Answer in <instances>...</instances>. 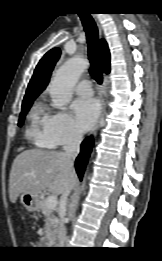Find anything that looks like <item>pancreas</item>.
<instances>
[{
	"instance_id": "1",
	"label": "pancreas",
	"mask_w": 162,
	"mask_h": 261,
	"mask_svg": "<svg viewBox=\"0 0 162 261\" xmlns=\"http://www.w3.org/2000/svg\"><path fill=\"white\" fill-rule=\"evenodd\" d=\"M46 200L44 199L40 203V209L45 216V226L43 231L42 243L51 242L58 234V219L54 214V210L47 207Z\"/></svg>"
}]
</instances>
